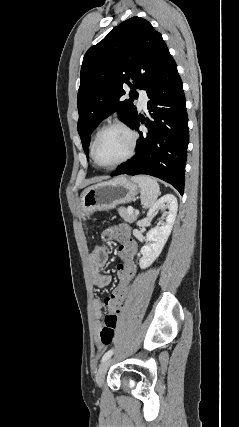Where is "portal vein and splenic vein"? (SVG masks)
Wrapping results in <instances>:
<instances>
[{
    "mask_svg": "<svg viewBox=\"0 0 239 427\" xmlns=\"http://www.w3.org/2000/svg\"><path fill=\"white\" fill-rule=\"evenodd\" d=\"M127 210H128V212H129V213H132V212H133V208H132L131 206H130V207H128V209H127ZM136 214H137V213H136Z\"/></svg>",
    "mask_w": 239,
    "mask_h": 427,
    "instance_id": "1",
    "label": "portal vein and splenic vein"
}]
</instances>
